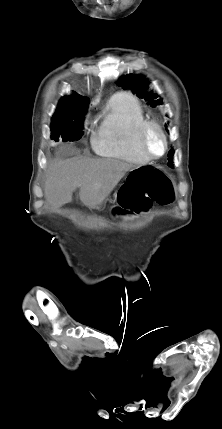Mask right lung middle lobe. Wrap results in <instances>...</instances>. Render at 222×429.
<instances>
[{
    "label": "right lung middle lobe",
    "mask_w": 222,
    "mask_h": 429,
    "mask_svg": "<svg viewBox=\"0 0 222 429\" xmlns=\"http://www.w3.org/2000/svg\"><path fill=\"white\" fill-rule=\"evenodd\" d=\"M89 100L74 92L64 96L56 109L51 121V139L75 141L81 138L83 118L88 108Z\"/></svg>",
    "instance_id": "1"
}]
</instances>
